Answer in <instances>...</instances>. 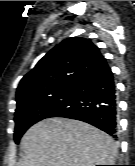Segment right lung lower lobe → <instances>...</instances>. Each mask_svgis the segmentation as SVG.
I'll use <instances>...</instances> for the list:
<instances>
[{
  "instance_id": "1",
  "label": "right lung lower lobe",
  "mask_w": 135,
  "mask_h": 166,
  "mask_svg": "<svg viewBox=\"0 0 135 166\" xmlns=\"http://www.w3.org/2000/svg\"><path fill=\"white\" fill-rule=\"evenodd\" d=\"M71 103L51 117L87 122L117 137V96L113 73L107 63L83 76L73 85Z\"/></svg>"
}]
</instances>
